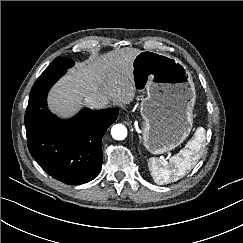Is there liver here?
<instances>
[{"instance_id": "1", "label": "liver", "mask_w": 243, "mask_h": 243, "mask_svg": "<svg viewBox=\"0 0 243 243\" xmlns=\"http://www.w3.org/2000/svg\"><path fill=\"white\" fill-rule=\"evenodd\" d=\"M140 52L125 47L77 63L52 88L48 96L50 110L61 117H69L94 92L120 105L131 103L136 92L133 61Z\"/></svg>"}]
</instances>
